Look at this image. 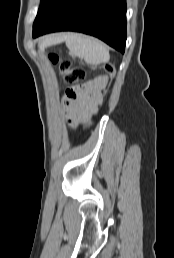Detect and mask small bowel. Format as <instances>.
I'll return each mask as SVG.
<instances>
[{
  "instance_id": "c3829d8e",
  "label": "small bowel",
  "mask_w": 174,
  "mask_h": 258,
  "mask_svg": "<svg viewBox=\"0 0 174 258\" xmlns=\"http://www.w3.org/2000/svg\"><path fill=\"white\" fill-rule=\"evenodd\" d=\"M108 85L107 76L98 75L82 86L75 99L64 96L67 118L72 126L87 121L96 113V105H102L101 90Z\"/></svg>"
}]
</instances>
